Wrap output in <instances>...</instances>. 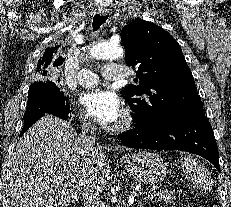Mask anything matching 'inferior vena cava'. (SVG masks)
I'll return each instance as SVG.
<instances>
[{
    "mask_svg": "<svg viewBox=\"0 0 231 207\" xmlns=\"http://www.w3.org/2000/svg\"><path fill=\"white\" fill-rule=\"evenodd\" d=\"M96 126L89 118L82 119L81 132L78 136V143L82 152L93 161L98 158L100 147L95 146ZM95 167L92 165L83 172L80 180L81 195L84 207H102L99 198V192L95 184Z\"/></svg>",
    "mask_w": 231,
    "mask_h": 207,
    "instance_id": "inferior-vena-cava-1",
    "label": "inferior vena cava"
}]
</instances>
